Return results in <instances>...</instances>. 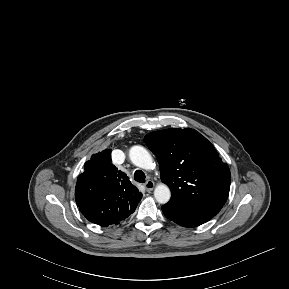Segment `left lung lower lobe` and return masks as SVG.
I'll use <instances>...</instances> for the list:
<instances>
[{
    "label": "left lung lower lobe",
    "mask_w": 289,
    "mask_h": 289,
    "mask_svg": "<svg viewBox=\"0 0 289 289\" xmlns=\"http://www.w3.org/2000/svg\"><path fill=\"white\" fill-rule=\"evenodd\" d=\"M165 216L184 227L199 226L215 216V214L191 204L169 201L162 206Z\"/></svg>",
    "instance_id": "1"
}]
</instances>
